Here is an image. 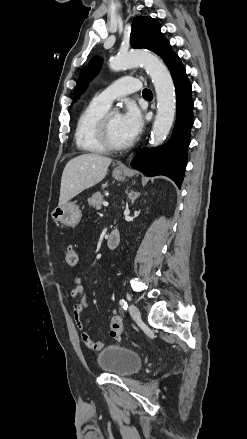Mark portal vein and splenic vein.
<instances>
[{"mask_svg":"<svg viewBox=\"0 0 247 439\" xmlns=\"http://www.w3.org/2000/svg\"><path fill=\"white\" fill-rule=\"evenodd\" d=\"M103 205H104L105 207H107V206L109 205V203H108V202H103Z\"/></svg>","mask_w":247,"mask_h":439,"instance_id":"obj_1","label":"portal vein and splenic vein"}]
</instances>
